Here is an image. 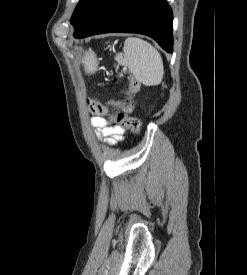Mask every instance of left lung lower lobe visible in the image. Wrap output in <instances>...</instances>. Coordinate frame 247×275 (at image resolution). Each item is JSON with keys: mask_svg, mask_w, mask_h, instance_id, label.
<instances>
[{"mask_svg": "<svg viewBox=\"0 0 247 275\" xmlns=\"http://www.w3.org/2000/svg\"><path fill=\"white\" fill-rule=\"evenodd\" d=\"M173 14L166 0H101L74 37L110 32L138 33L173 52Z\"/></svg>", "mask_w": 247, "mask_h": 275, "instance_id": "left-lung-lower-lobe-1", "label": "left lung lower lobe"}]
</instances>
